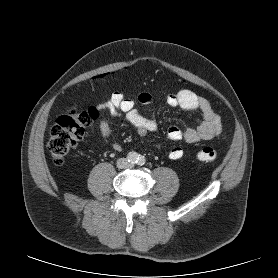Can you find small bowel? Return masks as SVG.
<instances>
[{"mask_svg": "<svg viewBox=\"0 0 278 278\" xmlns=\"http://www.w3.org/2000/svg\"><path fill=\"white\" fill-rule=\"evenodd\" d=\"M106 77L105 74L97 76V80ZM153 101L151 93L142 91L136 98L127 97L122 91H115L110 98L98 107L94 108L97 117L100 111H107L115 116H124L137 129L141 137H146L149 133L157 130V122L146 118L136 108L137 103L144 105ZM166 102L170 107L180 108L186 112L199 111L202 115V122L196 127H187L182 130L176 125H171L167 130V137L173 142L185 140L188 143L209 141L219 136L222 131V121L220 115L212 108L210 102L188 89H181L166 95ZM96 117V118H97ZM101 132L106 141L112 142V147L120 151L122 146L113 140L112 132L107 120L101 122ZM184 154L180 146H174L169 151V158L178 160Z\"/></svg>", "mask_w": 278, "mask_h": 278, "instance_id": "small-bowel-1", "label": "small bowel"}]
</instances>
